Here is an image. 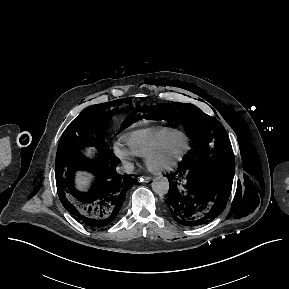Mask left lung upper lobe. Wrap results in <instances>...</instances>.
I'll list each match as a JSON object with an SVG mask.
<instances>
[{
    "label": "left lung upper lobe",
    "mask_w": 289,
    "mask_h": 289,
    "mask_svg": "<svg viewBox=\"0 0 289 289\" xmlns=\"http://www.w3.org/2000/svg\"><path fill=\"white\" fill-rule=\"evenodd\" d=\"M143 112L145 118L182 125L192 140L188 155L209 154L219 168L234 165V155L225 128L195 105L178 102L156 103L154 106H144Z\"/></svg>",
    "instance_id": "5c2ea615"
}]
</instances>
